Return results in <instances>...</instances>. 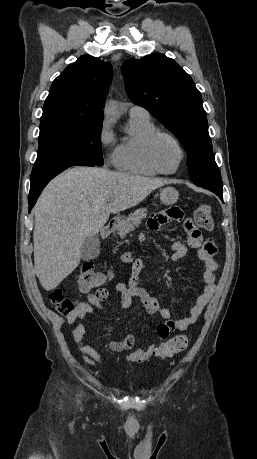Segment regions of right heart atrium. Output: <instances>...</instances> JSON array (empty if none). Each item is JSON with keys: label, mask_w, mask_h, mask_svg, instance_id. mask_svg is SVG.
Masks as SVG:
<instances>
[{"label": "right heart atrium", "mask_w": 257, "mask_h": 459, "mask_svg": "<svg viewBox=\"0 0 257 459\" xmlns=\"http://www.w3.org/2000/svg\"><path fill=\"white\" fill-rule=\"evenodd\" d=\"M98 140H99L100 147L103 150V152L106 153V156L109 159L113 160L115 150H113L110 153H108V151L110 150V148L112 147L114 143V136L111 130L110 123L107 120L103 121L101 125L99 135H98Z\"/></svg>", "instance_id": "1"}]
</instances>
